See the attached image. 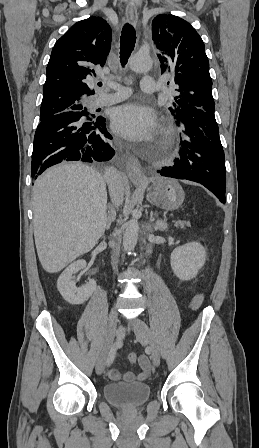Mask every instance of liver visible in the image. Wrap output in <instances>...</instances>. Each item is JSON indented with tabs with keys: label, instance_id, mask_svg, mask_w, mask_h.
Segmentation results:
<instances>
[{
	"label": "liver",
	"instance_id": "6515ba94",
	"mask_svg": "<svg viewBox=\"0 0 259 448\" xmlns=\"http://www.w3.org/2000/svg\"><path fill=\"white\" fill-rule=\"evenodd\" d=\"M32 204L36 250L49 274L90 252L105 232L106 182L82 162L48 168L33 186Z\"/></svg>",
	"mask_w": 259,
	"mask_h": 448
}]
</instances>
